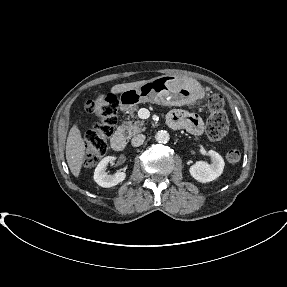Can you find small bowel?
Returning a JSON list of instances; mask_svg holds the SVG:
<instances>
[{
  "label": "small bowel",
  "instance_id": "1",
  "mask_svg": "<svg viewBox=\"0 0 287 287\" xmlns=\"http://www.w3.org/2000/svg\"><path fill=\"white\" fill-rule=\"evenodd\" d=\"M167 123L171 128L185 129L193 136H200L204 129L203 121L197 114L183 110L171 111Z\"/></svg>",
  "mask_w": 287,
  "mask_h": 287
}]
</instances>
